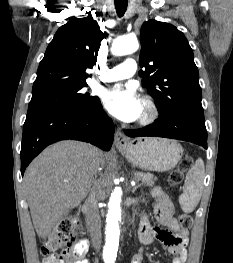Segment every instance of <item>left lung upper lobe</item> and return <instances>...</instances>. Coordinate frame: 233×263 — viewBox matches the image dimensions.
I'll list each match as a JSON object with an SVG mask.
<instances>
[{"label":"left lung upper lobe","mask_w":233,"mask_h":263,"mask_svg":"<svg viewBox=\"0 0 233 263\" xmlns=\"http://www.w3.org/2000/svg\"><path fill=\"white\" fill-rule=\"evenodd\" d=\"M139 75L155 99L159 117L180 111L203 112L198 69L193 51L175 26L149 20L140 32Z\"/></svg>","instance_id":"5c2ea615"}]
</instances>
